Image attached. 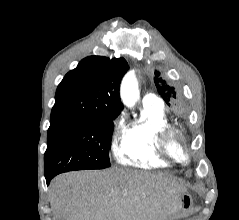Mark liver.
Returning a JSON list of instances; mask_svg holds the SVG:
<instances>
[{"label": "liver", "mask_w": 239, "mask_h": 220, "mask_svg": "<svg viewBox=\"0 0 239 220\" xmlns=\"http://www.w3.org/2000/svg\"><path fill=\"white\" fill-rule=\"evenodd\" d=\"M187 188L161 174L115 168L61 174L50 185L54 220H162Z\"/></svg>", "instance_id": "1"}]
</instances>
